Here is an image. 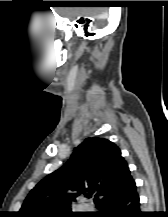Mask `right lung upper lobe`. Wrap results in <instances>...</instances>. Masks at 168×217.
<instances>
[{"label":"right lung upper lobe","mask_w":168,"mask_h":217,"mask_svg":"<svg viewBox=\"0 0 168 217\" xmlns=\"http://www.w3.org/2000/svg\"><path fill=\"white\" fill-rule=\"evenodd\" d=\"M136 187L120 149L111 141L87 138L74 149L70 159L58 170L41 180L28 194L19 217H52L81 215L92 217L97 212H72V202L80 194L97 193V209Z\"/></svg>","instance_id":"1"}]
</instances>
